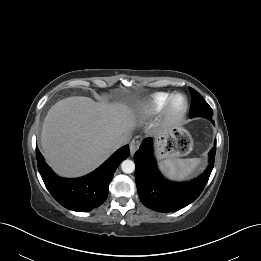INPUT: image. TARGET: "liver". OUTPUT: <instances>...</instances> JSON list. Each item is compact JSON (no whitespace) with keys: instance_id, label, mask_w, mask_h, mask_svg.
Here are the masks:
<instances>
[{"instance_id":"6515ba94","label":"liver","mask_w":261,"mask_h":261,"mask_svg":"<svg viewBox=\"0 0 261 261\" xmlns=\"http://www.w3.org/2000/svg\"><path fill=\"white\" fill-rule=\"evenodd\" d=\"M125 103L107 104L88 97L62 99L48 111L41 145L48 164L59 175L78 177L100 166L135 127Z\"/></svg>"}]
</instances>
